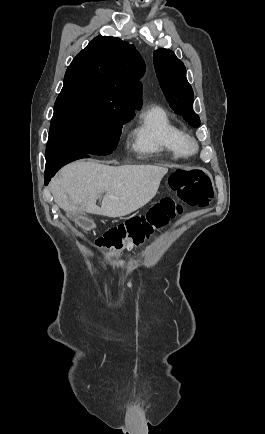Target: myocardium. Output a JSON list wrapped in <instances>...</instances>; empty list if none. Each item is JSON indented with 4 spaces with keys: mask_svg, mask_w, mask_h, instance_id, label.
<instances>
[{
    "mask_svg": "<svg viewBox=\"0 0 265 434\" xmlns=\"http://www.w3.org/2000/svg\"><path fill=\"white\" fill-rule=\"evenodd\" d=\"M181 151L185 157H193L199 154L201 145L199 141L190 134H185L180 139Z\"/></svg>",
    "mask_w": 265,
    "mask_h": 434,
    "instance_id": "obj_1",
    "label": "myocardium"
}]
</instances>
